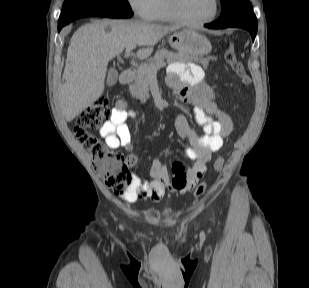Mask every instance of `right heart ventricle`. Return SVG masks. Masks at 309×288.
Segmentation results:
<instances>
[{"label":"right heart ventricle","instance_id":"right-heart-ventricle-1","mask_svg":"<svg viewBox=\"0 0 309 288\" xmlns=\"http://www.w3.org/2000/svg\"><path fill=\"white\" fill-rule=\"evenodd\" d=\"M151 20L160 22H174L169 6L168 0H157L153 9Z\"/></svg>","mask_w":309,"mask_h":288}]
</instances>
